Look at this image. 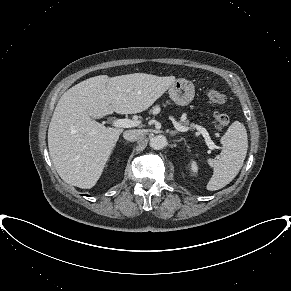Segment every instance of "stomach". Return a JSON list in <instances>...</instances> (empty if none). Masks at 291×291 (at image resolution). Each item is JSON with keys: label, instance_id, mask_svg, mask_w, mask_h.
Listing matches in <instances>:
<instances>
[{"label": "stomach", "instance_id": "1", "mask_svg": "<svg viewBox=\"0 0 291 291\" xmlns=\"http://www.w3.org/2000/svg\"><path fill=\"white\" fill-rule=\"evenodd\" d=\"M169 95L178 106H187L195 96V87L191 81L177 79L169 87Z\"/></svg>", "mask_w": 291, "mask_h": 291}]
</instances>
